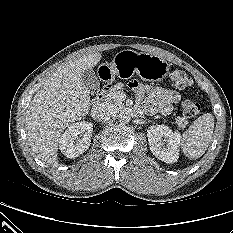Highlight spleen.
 Listing matches in <instances>:
<instances>
[{
	"label": "spleen",
	"mask_w": 233,
	"mask_h": 233,
	"mask_svg": "<svg viewBox=\"0 0 233 233\" xmlns=\"http://www.w3.org/2000/svg\"><path fill=\"white\" fill-rule=\"evenodd\" d=\"M214 130L210 113L199 116L181 136L180 146L189 159L200 158L207 150Z\"/></svg>",
	"instance_id": "1"
}]
</instances>
